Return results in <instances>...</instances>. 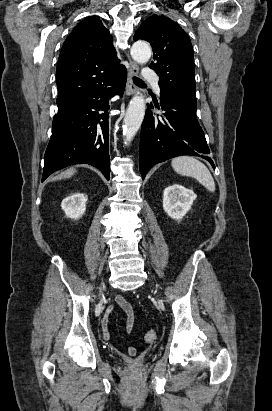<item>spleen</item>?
<instances>
[{"mask_svg":"<svg viewBox=\"0 0 272 411\" xmlns=\"http://www.w3.org/2000/svg\"><path fill=\"white\" fill-rule=\"evenodd\" d=\"M174 171L182 176L195 178L208 191H215L214 179L208 168L196 158L191 156H179L171 161Z\"/></svg>","mask_w":272,"mask_h":411,"instance_id":"3e777b00","label":"spleen"}]
</instances>
